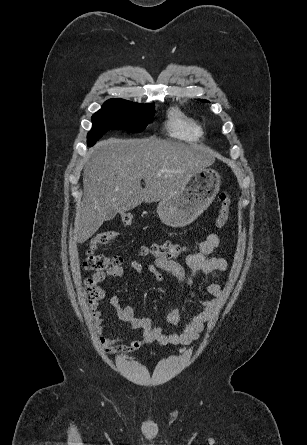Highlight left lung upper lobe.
<instances>
[{"label":"left lung upper lobe","mask_w":307,"mask_h":445,"mask_svg":"<svg viewBox=\"0 0 307 445\" xmlns=\"http://www.w3.org/2000/svg\"><path fill=\"white\" fill-rule=\"evenodd\" d=\"M202 102H207V103H209V101H207V100H201Z\"/></svg>","instance_id":"1"}]
</instances>
